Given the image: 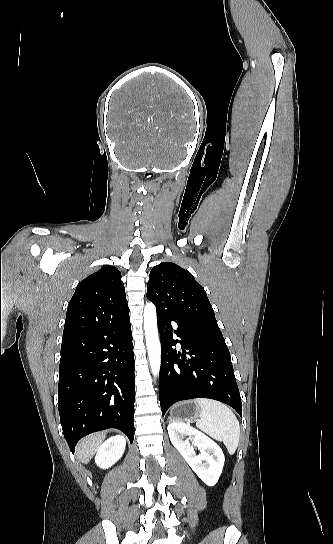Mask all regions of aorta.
I'll return each mask as SVG.
<instances>
[{
  "label": "aorta",
  "mask_w": 333,
  "mask_h": 544,
  "mask_svg": "<svg viewBox=\"0 0 333 544\" xmlns=\"http://www.w3.org/2000/svg\"><path fill=\"white\" fill-rule=\"evenodd\" d=\"M143 316L146 346L151 372L154 376H158L161 365V345L158 335L155 305L152 303H147L144 308Z\"/></svg>",
  "instance_id": "obj_1"
}]
</instances>
